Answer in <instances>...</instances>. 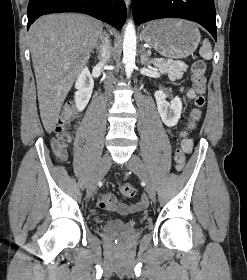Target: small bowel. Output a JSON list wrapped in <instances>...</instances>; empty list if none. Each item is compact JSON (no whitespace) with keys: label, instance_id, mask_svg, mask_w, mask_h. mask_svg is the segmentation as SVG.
<instances>
[{"label":"small bowel","instance_id":"c3829d8e","mask_svg":"<svg viewBox=\"0 0 247 280\" xmlns=\"http://www.w3.org/2000/svg\"><path fill=\"white\" fill-rule=\"evenodd\" d=\"M195 94L196 92L193 89L186 90V95L188 98H193ZM192 144L193 143L191 139H186L182 142V149L185 152H190ZM97 205L101 209L117 211L120 214L126 215L145 209L148 206V199L146 195H142L138 202L128 205L119 203L113 194L105 193L98 198Z\"/></svg>","mask_w":247,"mask_h":280}]
</instances>
